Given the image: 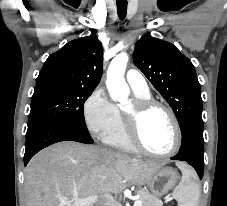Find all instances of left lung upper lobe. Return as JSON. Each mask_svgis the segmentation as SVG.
Listing matches in <instances>:
<instances>
[{
  "label": "left lung upper lobe",
  "mask_w": 227,
  "mask_h": 206,
  "mask_svg": "<svg viewBox=\"0 0 227 206\" xmlns=\"http://www.w3.org/2000/svg\"><path fill=\"white\" fill-rule=\"evenodd\" d=\"M133 59L173 109L182 139L203 134L201 88L191 61L173 44L150 35L137 41Z\"/></svg>",
  "instance_id": "left-lung-upper-lobe-1"
}]
</instances>
